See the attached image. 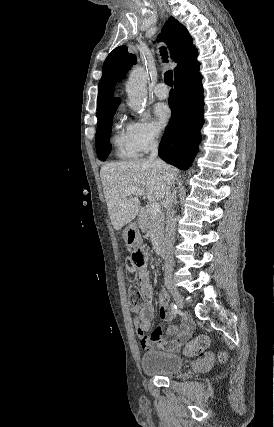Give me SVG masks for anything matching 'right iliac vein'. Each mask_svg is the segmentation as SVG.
Returning <instances> with one entry per match:
<instances>
[{"label":"right iliac vein","mask_w":274,"mask_h":427,"mask_svg":"<svg viewBox=\"0 0 274 427\" xmlns=\"http://www.w3.org/2000/svg\"><path fill=\"white\" fill-rule=\"evenodd\" d=\"M167 287H168V290L170 291V293L173 295L174 300H175L177 306L180 309H183L184 308L183 297L180 294L179 290L174 286V284H173V282L171 280L167 282Z\"/></svg>","instance_id":"right-iliac-vein-1"}]
</instances>
